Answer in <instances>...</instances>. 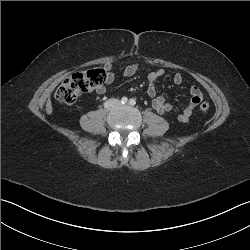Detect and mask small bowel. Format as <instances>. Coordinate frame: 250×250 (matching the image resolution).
Listing matches in <instances>:
<instances>
[{
    "label": "small bowel",
    "mask_w": 250,
    "mask_h": 250,
    "mask_svg": "<svg viewBox=\"0 0 250 250\" xmlns=\"http://www.w3.org/2000/svg\"><path fill=\"white\" fill-rule=\"evenodd\" d=\"M103 71L105 72L106 79L104 84H111L114 81L115 75L113 72V65L111 63H106L103 66ZM139 71H144L147 74L148 86L147 95L151 98V104L153 109L159 113L164 114L170 112L173 106L168 103L164 97L157 95L156 82L165 75L164 69H158L155 71H150L144 66L133 63L129 64L122 69V75L125 77H131ZM175 85H180L183 82L182 75L177 73L172 79ZM102 84L98 86L95 90L98 94H104L106 91L105 85ZM191 99L187 106H185L182 111L177 115V119L180 122H187L191 117L195 107L203 100V93L197 86L190 87Z\"/></svg>",
    "instance_id": "obj_1"
}]
</instances>
